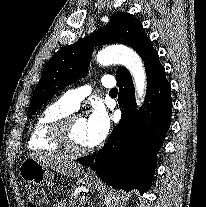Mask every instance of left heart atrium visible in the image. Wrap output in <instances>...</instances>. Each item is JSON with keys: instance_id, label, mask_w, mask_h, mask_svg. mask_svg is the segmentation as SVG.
Here are the masks:
<instances>
[{"instance_id": "39dd6f15", "label": "left heart atrium", "mask_w": 206, "mask_h": 207, "mask_svg": "<svg viewBox=\"0 0 206 207\" xmlns=\"http://www.w3.org/2000/svg\"><path fill=\"white\" fill-rule=\"evenodd\" d=\"M110 117L102 105H96L86 120V138L89 147L100 144L108 135Z\"/></svg>"}]
</instances>
